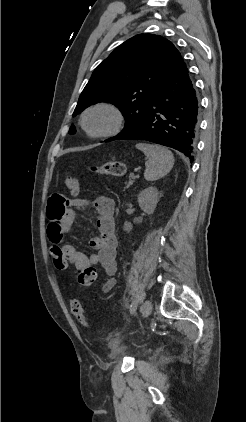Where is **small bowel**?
Segmentation results:
<instances>
[{
	"instance_id": "1",
	"label": "small bowel",
	"mask_w": 246,
	"mask_h": 422,
	"mask_svg": "<svg viewBox=\"0 0 246 422\" xmlns=\"http://www.w3.org/2000/svg\"><path fill=\"white\" fill-rule=\"evenodd\" d=\"M95 209L98 212L96 225L99 234L90 241L94 253L86 255L71 244H60L64 234L71 232L72 224L78 212L86 209ZM114 202L106 196L93 199L69 200L61 194L50 197L47 207L48 237L61 250L68 263L74 264L76 269L82 270L88 266L101 265L106 273L102 283V290L110 292L116 285L117 271L114 221Z\"/></svg>"
}]
</instances>
